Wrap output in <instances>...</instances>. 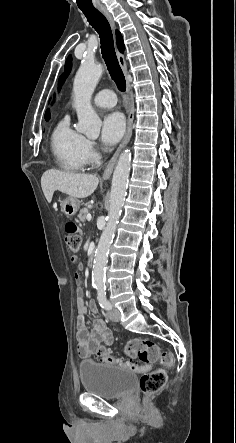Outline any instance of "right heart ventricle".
I'll use <instances>...</instances> for the list:
<instances>
[{"label": "right heart ventricle", "mask_w": 236, "mask_h": 443, "mask_svg": "<svg viewBox=\"0 0 236 443\" xmlns=\"http://www.w3.org/2000/svg\"><path fill=\"white\" fill-rule=\"evenodd\" d=\"M85 140L83 135L71 127L68 117L60 120L50 138L55 164L65 171H81L87 163L83 152Z\"/></svg>", "instance_id": "right-heart-ventricle-1"}]
</instances>
